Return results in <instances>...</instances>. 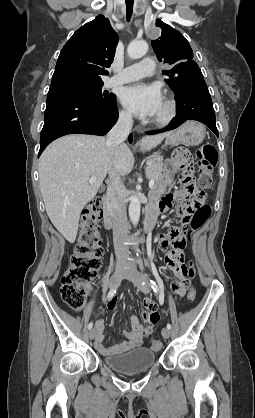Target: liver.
I'll use <instances>...</instances> for the list:
<instances>
[{"label": "liver", "mask_w": 255, "mask_h": 418, "mask_svg": "<svg viewBox=\"0 0 255 418\" xmlns=\"http://www.w3.org/2000/svg\"><path fill=\"white\" fill-rule=\"evenodd\" d=\"M169 134L142 138L141 151L156 147ZM133 166L127 144L111 151L100 136L67 135L45 149L39 159L40 190L49 219L67 241H75L81 211L95 197L106 175L110 180L114 175L125 176ZM93 176L96 181L90 183Z\"/></svg>", "instance_id": "obj_1"}]
</instances>
